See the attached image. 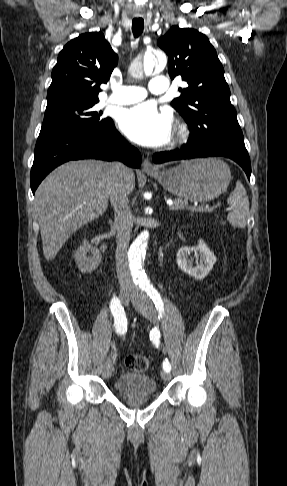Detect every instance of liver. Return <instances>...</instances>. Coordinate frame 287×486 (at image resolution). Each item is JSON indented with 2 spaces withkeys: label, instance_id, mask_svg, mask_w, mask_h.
Returning <instances> with one entry per match:
<instances>
[{
  "label": "liver",
  "instance_id": "6515ba94",
  "mask_svg": "<svg viewBox=\"0 0 287 486\" xmlns=\"http://www.w3.org/2000/svg\"><path fill=\"white\" fill-rule=\"evenodd\" d=\"M112 164L98 160L67 162L51 172L35 193L43 253L53 260L71 234L103 215L108 207ZM126 192L135 188L131 169Z\"/></svg>",
  "mask_w": 287,
  "mask_h": 486
}]
</instances>
